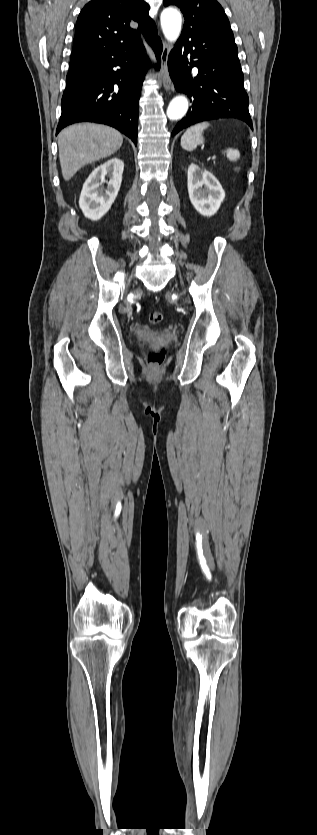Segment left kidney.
Instances as JSON below:
<instances>
[{
    "instance_id": "5707ae66",
    "label": "left kidney",
    "mask_w": 317,
    "mask_h": 835,
    "mask_svg": "<svg viewBox=\"0 0 317 835\" xmlns=\"http://www.w3.org/2000/svg\"><path fill=\"white\" fill-rule=\"evenodd\" d=\"M187 187L193 207L203 216L214 215L225 198V192L215 176L193 163L188 167Z\"/></svg>"
}]
</instances>
